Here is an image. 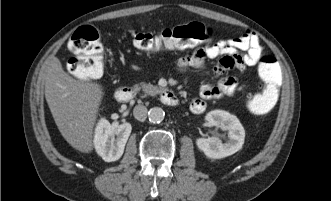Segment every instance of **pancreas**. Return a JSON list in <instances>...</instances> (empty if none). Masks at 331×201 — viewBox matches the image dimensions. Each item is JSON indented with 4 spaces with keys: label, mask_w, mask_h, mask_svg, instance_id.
Instances as JSON below:
<instances>
[{
    "label": "pancreas",
    "mask_w": 331,
    "mask_h": 201,
    "mask_svg": "<svg viewBox=\"0 0 331 201\" xmlns=\"http://www.w3.org/2000/svg\"><path fill=\"white\" fill-rule=\"evenodd\" d=\"M136 91H139L140 89H142L145 94L147 95H151V96H155L156 94H159L162 92V88L158 87V86H154L150 83L146 84V83H142L141 86H139L138 84H136L134 86Z\"/></svg>",
    "instance_id": "1"
}]
</instances>
